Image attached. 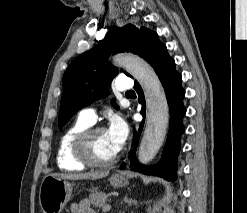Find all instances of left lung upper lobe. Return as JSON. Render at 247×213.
Returning <instances> with one entry per match:
<instances>
[{
	"instance_id": "obj_1",
	"label": "left lung upper lobe",
	"mask_w": 247,
	"mask_h": 213,
	"mask_svg": "<svg viewBox=\"0 0 247 213\" xmlns=\"http://www.w3.org/2000/svg\"><path fill=\"white\" fill-rule=\"evenodd\" d=\"M131 52L154 66L170 57L156 32L133 24L111 28L105 38L93 49L79 55L63 76V95L60 103L58 126L62 128L82 107L109 94L111 81L118 68L105 58L112 53ZM126 75L130 76L128 73ZM118 110L119 107L112 102Z\"/></svg>"
}]
</instances>
